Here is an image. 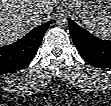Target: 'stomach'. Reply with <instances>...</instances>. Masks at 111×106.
Returning a JSON list of instances; mask_svg holds the SVG:
<instances>
[{
    "label": "stomach",
    "instance_id": "obj_1",
    "mask_svg": "<svg viewBox=\"0 0 111 106\" xmlns=\"http://www.w3.org/2000/svg\"><path fill=\"white\" fill-rule=\"evenodd\" d=\"M66 6L78 14L84 23H89L94 18H104L109 14L111 2L107 0L66 1Z\"/></svg>",
    "mask_w": 111,
    "mask_h": 106
}]
</instances>
